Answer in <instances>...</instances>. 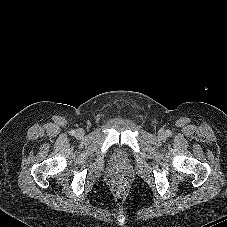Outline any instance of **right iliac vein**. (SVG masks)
I'll use <instances>...</instances> for the list:
<instances>
[{"mask_svg": "<svg viewBox=\"0 0 227 227\" xmlns=\"http://www.w3.org/2000/svg\"><path fill=\"white\" fill-rule=\"evenodd\" d=\"M83 136H84V131L82 129H78L76 131V137L81 139Z\"/></svg>", "mask_w": 227, "mask_h": 227, "instance_id": "obj_1", "label": "right iliac vein"}]
</instances>
